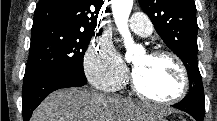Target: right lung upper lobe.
I'll list each match as a JSON object with an SVG mask.
<instances>
[{"mask_svg": "<svg viewBox=\"0 0 217 121\" xmlns=\"http://www.w3.org/2000/svg\"><path fill=\"white\" fill-rule=\"evenodd\" d=\"M102 0H40L36 6L33 26L58 23L83 29H95Z\"/></svg>", "mask_w": 217, "mask_h": 121, "instance_id": "obj_1", "label": "right lung upper lobe"}]
</instances>
